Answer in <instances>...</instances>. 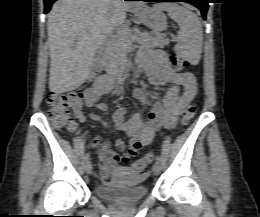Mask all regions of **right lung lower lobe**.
I'll return each instance as SVG.
<instances>
[{
  "instance_id": "obj_1",
  "label": "right lung lower lobe",
  "mask_w": 260,
  "mask_h": 217,
  "mask_svg": "<svg viewBox=\"0 0 260 217\" xmlns=\"http://www.w3.org/2000/svg\"><path fill=\"white\" fill-rule=\"evenodd\" d=\"M55 1H57V0H44V2H45V11H44V13L45 14L49 12V10L51 9L52 4ZM125 1H132V0H125Z\"/></svg>"
}]
</instances>
